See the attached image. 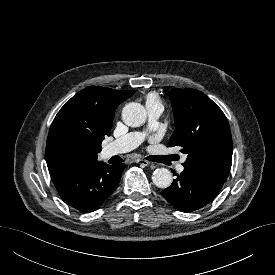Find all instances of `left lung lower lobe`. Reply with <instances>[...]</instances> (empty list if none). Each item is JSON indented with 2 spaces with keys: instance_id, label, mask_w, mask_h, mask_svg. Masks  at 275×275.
<instances>
[{
  "instance_id": "left-lung-lower-lobe-1",
  "label": "left lung lower lobe",
  "mask_w": 275,
  "mask_h": 275,
  "mask_svg": "<svg viewBox=\"0 0 275 275\" xmlns=\"http://www.w3.org/2000/svg\"><path fill=\"white\" fill-rule=\"evenodd\" d=\"M228 176L200 168L184 166V171L161 194L175 208L192 212L210 203Z\"/></svg>"
}]
</instances>
